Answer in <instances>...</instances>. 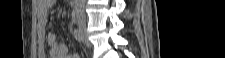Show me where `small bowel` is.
<instances>
[{"mask_svg": "<svg viewBox=\"0 0 225 58\" xmlns=\"http://www.w3.org/2000/svg\"><path fill=\"white\" fill-rule=\"evenodd\" d=\"M55 3V0L37 1V41L39 53L43 58L46 57L45 43H47L49 58H79L77 53H68L66 46L58 42L57 35L54 32L46 35L48 14Z\"/></svg>", "mask_w": 225, "mask_h": 58, "instance_id": "c3829d8e", "label": "small bowel"}]
</instances>
